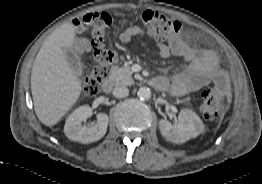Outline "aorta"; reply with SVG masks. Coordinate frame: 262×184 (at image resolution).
I'll use <instances>...</instances> for the list:
<instances>
[{"instance_id":"obj_1","label":"aorta","mask_w":262,"mask_h":184,"mask_svg":"<svg viewBox=\"0 0 262 184\" xmlns=\"http://www.w3.org/2000/svg\"><path fill=\"white\" fill-rule=\"evenodd\" d=\"M137 95L140 99L148 100L151 97V91L147 87H141L139 88Z\"/></svg>"}]
</instances>
